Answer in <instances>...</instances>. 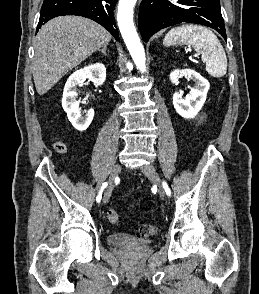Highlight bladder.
<instances>
[{"label":"bladder","instance_id":"31cf9c89","mask_svg":"<svg viewBox=\"0 0 259 294\" xmlns=\"http://www.w3.org/2000/svg\"><path fill=\"white\" fill-rule=\"evenodd\" d=\"M149 240L142 237H136L131 234L123 233V232H114L110 233L107 236V242L110 245H139L145 244Z\"/></svg>","mask_w":259,"mask_h":294}]
</instances>
